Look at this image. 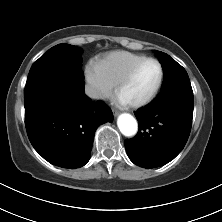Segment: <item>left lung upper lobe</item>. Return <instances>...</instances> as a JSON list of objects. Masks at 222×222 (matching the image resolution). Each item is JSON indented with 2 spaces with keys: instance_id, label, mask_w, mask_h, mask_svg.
Returning a JSON list of instances; mask_svg holds the SVG:
<instances>
[{
  "instance_id": "obj_1",
  "label": "left lung upper lobe",
  "mask_w": 222,
  "mask_h": 222,
  "mask_svg": "<svg viewBox=\"0 0 222 222\" xmlns=\"http://www.w3.org/2000/svg\"><path fill=\"white\" fill-rule=\"evenodd\" d=\"M156 54L164 73L162 91L175 87H191L188 74L180 64L166 53L156 51Z\"/></svg>"
}]
</instances>
